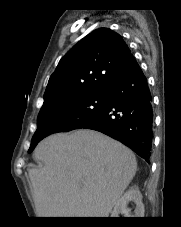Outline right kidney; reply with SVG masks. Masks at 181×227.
Segmentation results:
<instances>
[{
  "instance_id": "obj_1",
  "label": "right kidney",
  "mask_w": 181,
  "mask_h": 227,
  "mask_svg": "<svg viewBox=\"0 0 181 227\" xmlns=\"http://www.w3.org/2000/svg\"><path fill=\"white\" fill-rule=\"evenodd\" d=\"M133 201L136 205L134 215L128 208V203ZM144 204L142 203V195L135 186L129 188L124 195L117 201L111 212V217H119V214H125L127 217H144Z\"/></svg>"
}]
</instances>
